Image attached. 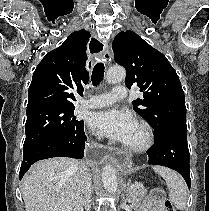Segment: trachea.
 <instances>
[{
	"label": "trachea",
	"instance_id": "trachea-1",
	"mask_svg": "<svg viewBox=\"0 0 209 211\" xmlns=\"http://www.w3.org/2000/svg\"><path fill=\"white\" fill-rule=\"evenodd\" d=\"M104 64L102 62H98L94 69H93V73H92V84L93 86H97L101 83V81L103 80V76H104Z\"/></svg>",
	"mask_w": 209,
	"mask_h": 211
}]
</instances>
